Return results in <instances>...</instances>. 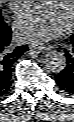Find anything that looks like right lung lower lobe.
Here are the masks:
<instances>
[{
  "label": "right lung lower lobe",
  "mask_w": 74,
  "mask_h": 122,
  "mask_svg": "<svg viewBox=\"0 0 74 122\" xmlns=\"http://www.w3.org/2000/svg\"><path fill=\"white\" fill-rule=\"evenodd\" d=\"M11 28L0 21V96L7 94L11 86L12 67L27 50V46L11 45Z\"/></svg>",
  "instance_id": "1"
}]
</instances>
